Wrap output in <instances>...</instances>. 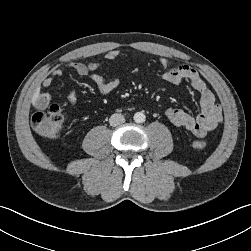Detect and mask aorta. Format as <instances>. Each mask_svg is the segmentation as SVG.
<instances>
[{"mask_svg": "<svg viewBox=\"0 0 251 251\" xmlns=\"http://www.w3.org/2000/svg\"><path fill=\"white\" fill-rule=\"evenodd\" d=\"M133 118L136 123H143L146 119L145 114L143 112L135 113Z\"/></svg>", "mask_w": 251, "mask_h": 251, "instance_id": "aorta-1", "label": "aorta"}]
</instances>
